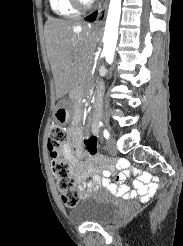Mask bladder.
Listing matches in <instances>:
<instances>
[{"mask_svg":"<svg viewBox=\"0 0 183 246\" xmlns=\"http://www.w3.org/2000/svg\"><path fill=\"white\" fill-rule=\"evenodd\" d=\"M118 210V203L110 193L103 189L85 198L72 212L71 218L79 222L109 223Z\"/></svg>","mask_w":183,"mask_h":246,"instance_id":"bladder-1","label":"bladder"}]
</instances>
